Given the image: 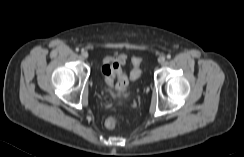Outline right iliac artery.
<instances>
[{"label": "right iliac artery", "instance_id": "82829eb1", "mask_svg": "<svg viewBox=\"0 0 244 157\" xmlns=\"http://www.w3.org/2000/svg\"><path fill=\"white\" fill-rule=\"evenodd\" d=\"M76 51H79V48H76Z\"/></svg>", "mask_w": 244, "mask_h": 157}]
</instances>
